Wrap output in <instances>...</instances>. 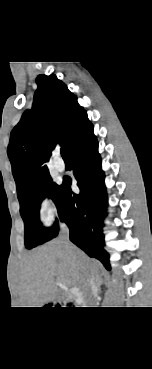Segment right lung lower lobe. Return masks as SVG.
<instances>
[{"label":"right lung lower lobe","mask_w":152,"mask_h":369,"mask_svg":"<svg viewBox=\"0 0 152 369\" xmlns=\"http://www.w3.org/2000/svg\"><path fill=\"white\" fill-rule=\"evenodd\" d=\"M69 156L80 193L71 191V178L65 177L57 204L60 220L69 227L70 240L110 270L109 255L103 248L102 233L107 194L93 129L73 145ZM58 232L59 226L55 237Z\"/></svg>","instance_id":"1"}]
</instances>
